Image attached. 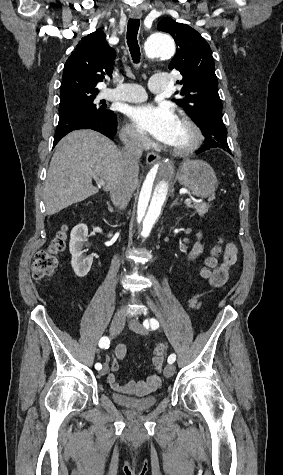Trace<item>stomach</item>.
Wrapping results in <instances>:
<instances>
[{"label": "stomach", "mask_w": 283, "mask_h": 475, "mask_svg": "<svg viewBox=\"0 0 283 475\" xmlns=\"http://www.w3.org/2000/svg\"><path fill=\"white\" fill-rule=\"evenodd\" d=\"M176 178L181 186L198 198H208L218 188L216 174L204 160H184Z\"/></svg>", "instance_id": "stomach-1"}]
</instances>
